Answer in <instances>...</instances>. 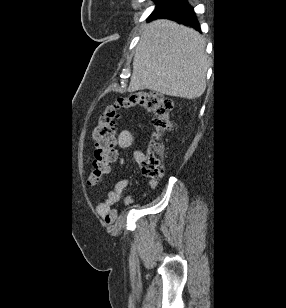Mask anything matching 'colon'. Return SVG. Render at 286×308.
<instances>
[{
	"instance_id": "5ec220e1",
	"label": "colon",
	"mask_w": 286,
	"mask_h": 308,
	"mask_svg": "<svg viewBox=\"0 0 286 308\" xmlns=\"http://www.w3.org/2000/svg\"><path fill=\"white\" fill-rule=\"evenodd\" d=\"M142 108L153 116L152 125L155 137L170 131L172 122L169 114L173 102L160 93L143 90L130 95L119 97L109 105L100 115L98 124L93 132L95 143L94 161L88 176L90 186L99 184L109 171L110 164L116 159L115 152V124L121 110ZM162 148L159 144L150 145L145 157L141 161L143 174L150 179L157 180L162 176Z\"/></svg>"
}]
</instances>
